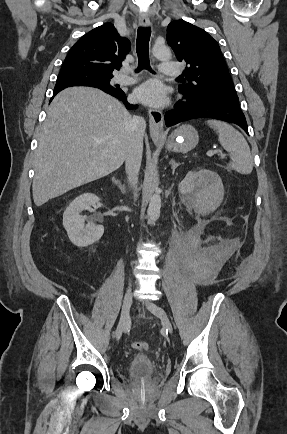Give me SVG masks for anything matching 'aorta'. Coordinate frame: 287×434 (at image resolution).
Returning <instances> with one entry per match:
<instances>
[{
  "label": "aorta",
  "instance_id": "aorta-1",
  "mask_svg": "<svg viewBox=\"0 0 287 434\" xmlns=\"http://www.w3.org/2000/svg\"><path fill=\"white\" fill-rule=\"evenodd\" d=\"M152 54L159 60H169L171 58V51L166 45H154ZM161 209V196L159 192H155L149 202L147 209L148 221L154 223L160 216Z\"/></svg>",
  "mask_w": 287,
  "mask_h": 434
}]
</instances>
